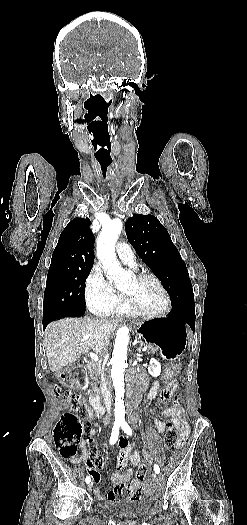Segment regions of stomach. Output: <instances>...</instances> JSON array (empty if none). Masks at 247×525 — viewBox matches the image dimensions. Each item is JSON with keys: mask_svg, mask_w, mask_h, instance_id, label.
Wrapping results in <instances>:
<instances>
[{"mask_svg": "<svg viewBox=\"0 0 247 525\" xmlns=\"http://www.w3.org/2000/svg\"><path fill=\"white\" fill-rule=\"evenodd\" d=\"M137 332L148 345L157 346L160 354L169 360L177 359L182 354L190 336L188 325L168 317L141 322Z\"/></svg>", "mask_w": 247, "mask_h": 525, "instance_id": "obj_1", "label": "stomach"}]
</instances>
